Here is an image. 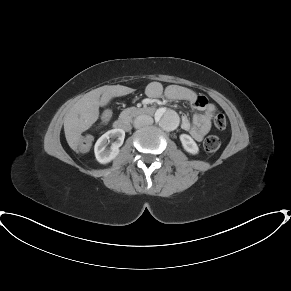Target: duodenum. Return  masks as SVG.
<instances>
[{
	"mask_svg": "<svg viewBox=\"0 0 291 291\" xmlns=\"http://www.w3.org/2000/svg\"><path fill=\"white\" fill-rule=\"evenodd\" d=\"M131 113L137 114V115H146V116H152L155 114V109L152 107H145V108H140L137 109ZM128 115L120 117L116 122H115V129L120 132H126L128 131L130 124H129V118Z\"/></svg>",
	"mask_w": 291,
	"mask_h": 291,
	"instance_id": "duodenum-1",
	"label": "duodenum"
}]
</instances>
